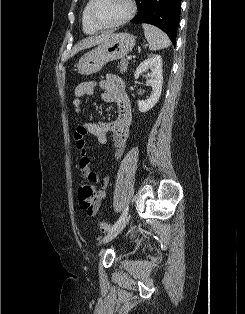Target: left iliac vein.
Segmentation results:
<instances>
[{"label":"left iliac vein","instance_id":"obj_1","mask_svg":"<svg viewBox=\"0 0 245 314\" xmlns=\"http://www.w3.org/2000/svg\"><path fill=\"white\" fill-rule=\"evenodd\" d=\"M130 220V214H126V216L124 217V219L117 225V227L112 230L111 232H109L101 241L102 244H106L109 241L113 240L124 228L125 226L128 224Z\"/></svg>","mask_w":245,"mask_h":314}]
</instances>
